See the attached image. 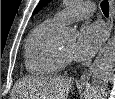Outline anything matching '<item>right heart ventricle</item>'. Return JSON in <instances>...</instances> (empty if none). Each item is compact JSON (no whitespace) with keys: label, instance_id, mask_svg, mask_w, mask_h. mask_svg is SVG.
Wrapping results in <instances>:
<instances>
[{"label":"right heart ventricle","instance_id":"e07e8e85","mask_svg":"<svg viewBox=\"0 0 115 99\" xmlns=\"http://www.w3.org/2000/svg\"><path fill=\"white\" fill-rule=\"evenodd\" d=\"M58 26L52 20H46L29 34L24 51L25 66L29 73L48 76L60 72L64 67L59 48L54 43Z\"/></svg>","mask_w":115,"mask_h":99}]
</instances>
